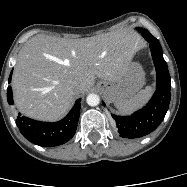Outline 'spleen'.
<instances>
[{"instance_id": "obj_1", "label": "spleen", "mask_w": 187, "mask_h": 187, "mask_svg": "<svg viewBox=\"0 0 187 187\" xmlns=\"http://www.w3.org/2000/svg\"><path fill=\"white\" fill-rule=\"evenodd\" d=\"M152 93L153 88L148 86L130 99L115 103V106L122 113H131L142 107L150 99Z\"/></svg>"}]
</instances>
